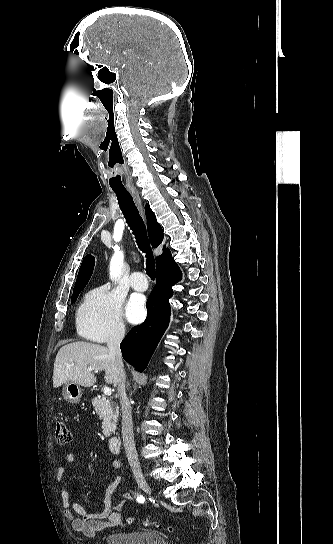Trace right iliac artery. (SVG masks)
Returning a JSON list of instances; mask_svg holds the SVG:
<instances>
[{
	"label": "right iliac artery",
	"mask_w": 333,
	"mask_h": 544,
	"mask_svg": "<svg viewBox=\"0 0 333 544\" xmlns=\"http://www.w3.org/2000/svg\"><path fill=\"white\" fill-rule=\"evenodd\" d=\"M137 501L142 503V502L145 501V498L140 495V496L137 497Z\"/></svg>",
	"instance_id": "82829eb1"
}]
</instances>
